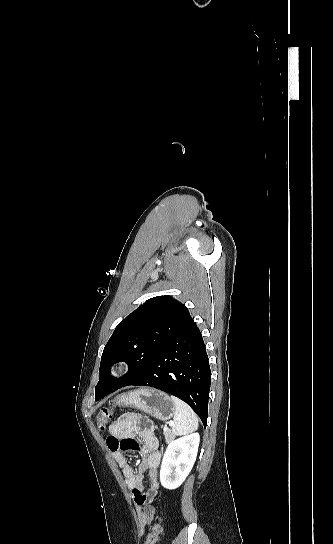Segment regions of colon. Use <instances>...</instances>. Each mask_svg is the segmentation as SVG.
Wrapping results in <instances>:
<instances>
[{
    "mask_svg": "<svg viewBox=\"0 0 333 544\" xmlns=\"http://www.w3.org/2000/svg\"><path fill=\"white\" fill-rule=\"evenodd\" d=\"M113 411L111 408H102L96 415V421L99 428L104 429L111 419ZM161 532L160 518L158 517L151 527L144 544H156Z\"/></svg>",
    "mask_w": 333,
    "mask_h": 544,
    "instance_id": "5ec220e1",
    "label": "colon"
}]
</instances>
